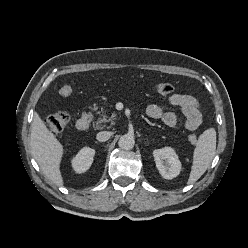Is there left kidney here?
<instances>
[{
    "label": "left kidney",
    "instance_id": "5707ae66",
    "mask_svg": "<svg viewBox=\"0 0 248 248\" xmlns=\"http://www.w3.org/2000/svg\"><path fill=\"white\" fill-rule=\"evenodd\" d=\"M156 167L165 179L177 177L181 171V162L173 148L164 147L153 151Z\"/></svg>",
    "mask_w": 248,
    "mask_h": 248
}]
</instances>
